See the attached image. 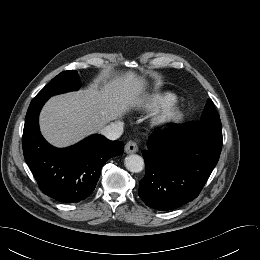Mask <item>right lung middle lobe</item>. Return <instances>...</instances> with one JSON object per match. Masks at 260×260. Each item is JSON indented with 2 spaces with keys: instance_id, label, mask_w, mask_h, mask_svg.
<instances>
[{
  "instance_id": "obj_1",
  "label": "right lung middle lobe",
  "mask_w": 260,
  "mask_h": 260,
  "mask_svg": "<svg viewBox=\"0 0 260 260\" xmlns=\"http://www.w3.org/2000/svg\"><path fill=\"white\" fill-rule=\"evenodd\" d=\"M80 79L75 70L64 71L54 77L36 96L50 97L56 94L77 90Z\"/></svg>"
}]
</instances>
